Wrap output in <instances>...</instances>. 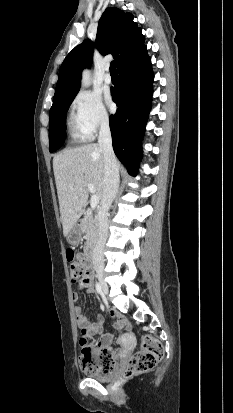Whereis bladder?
Returning <instances> with one entry per match:
<instances>
[{"instance_id":"bladder-1","label":"bladder","mask_w":233,"mask_h":413,"mask_svg":"<svg viewBox=\"0 0 233 413\" xmlns=\"http://www.w3.org/2000/svg\"><path fill=\"white\" fill-rule=\"evenodd\" d=\"M113 374L112 372L105 374V375H101V374H90L89 378L97 380V381H109L112 378Z\"/></svg>"}]
</instances>
